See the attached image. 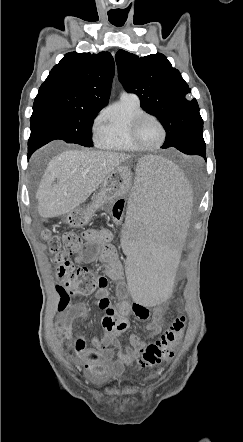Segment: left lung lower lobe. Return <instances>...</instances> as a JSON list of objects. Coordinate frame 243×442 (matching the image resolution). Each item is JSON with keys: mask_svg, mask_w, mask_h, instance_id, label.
I'll list each match as a JSON object with an SVG mask.
<instances>
[{"mask_svg": "<svg viewBox=\"0 0 243 442\" xmlns=\"http://www.w3.org/2000/svg\"><path fill=\"white\" fill-rule=\"evenodd\" d=\"M179 151L189 155H200L206 159V145L203 139V133H197L181 144L175 146Z\"/></svg>", "mask_w": 243, "mask_h": 442, "instance_id": "1", "label": "left lung lower lobe"}]
</instances>
